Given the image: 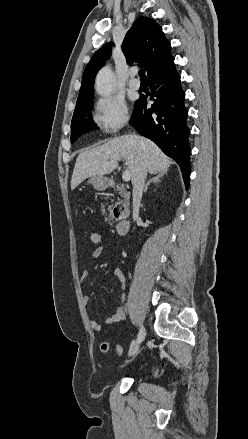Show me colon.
<instances>
[{
    "instance_id": "colon-1",
    "label": "colon",
    "mask_w": 248,
    "mask_h": 439,
    "mask_svg": "<svg viewBox=\"0 0 248 439\" xmlns=\"http://www.w3.org/2000/svg\"><path fill=\"white\" fill-rule=\"evenodd\" d=\"M89 241L93 245L100 246L102 243V236H101L100 232L91 231L89 233ZM110 349H111V345L109 342H103L100 346V350L102 353H107V352H109ZM115 350H116L117 354L120 356H122L124 353V350L120 345H116Z\"/></svg>"
}]
</instances>
